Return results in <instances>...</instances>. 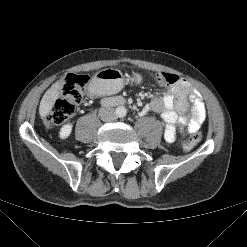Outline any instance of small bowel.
<instances>
[{"mask_svg": "<svg viewBox=\"0 0 247 247\" xmlns=\"http://www.w3.org/2000/svg\"><path fill=\"white\" fill-rule=\"evenodd\" d=\"M149 112L160 113L164 121V138L169 143L176 139L178 124L185 125V133L190 135L201 127L206 117L200 94L185 80H181L163 97H155L146 104L143 113Z\"/></svg>", "mask_w": 247, "mask_h": 247, "instance_id": "small-bowel-1", "label": "small bowel"}]
</instances>
